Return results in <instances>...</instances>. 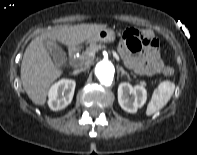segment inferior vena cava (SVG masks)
Listing matches in <instances>:
<instances>
[{"instance_id":"602c4592","label":"inferior vena cava","mask_w":197,"mask_h":155,"mask_svg":"<svg viewBox=\"0 0 197 155\" xmlns=\"http://www.w3.org/2000/svg\"><path fill=\"white\" fill-rule=\"evenodd\" d=\"M83 70H85V67H82V68H80V69H77L76 72H81V71H83Z\"/></svg>"}]
</instances>
